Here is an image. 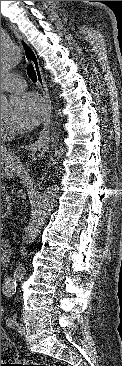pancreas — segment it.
I'll list each match as a JSON object with an SVG mask.
<instances>
[{
  "label": "pancreas",
  "mask_w": 122,
  "mask_h": 366,
  "mask_svg": "<svg viewBox=\"0 0 122 366\" xmlns=\"http://www.w3.org/2000/svg\"><path fill=\"white\" fill-rule=\"evenodd\" d=\"M5 192H6V186L3 184L1 185V196H4Z\"/></svg>",
  "instance_id": "pancreas-1"
}]
</instances>
